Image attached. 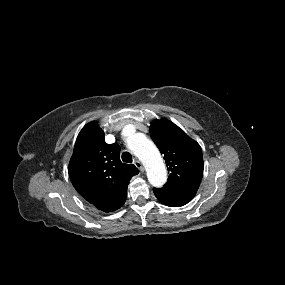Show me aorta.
Wrapping results in <instances>:
<instances>
[{"label":"aorta","mask_w":285,"mask_h":285,"mask_svg":"<svg viewBox=\"0 0 285 285\" xmlns=\"http://www.w3.org/2000/svg\"><path fill=\"white\" fill-rule=\"evenodd\" d=\"M129 149L143 162L147 178L154 187H162L167 181V172L161 154L155 144L142 133H133L127 138Z\"/></svg>","instance_id":"762f6f07"}]
</instances>
